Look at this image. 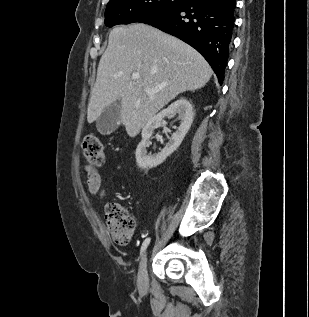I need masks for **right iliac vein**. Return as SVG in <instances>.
<instances>
[{
  "mask_svg": "<svg viewBox=\"0 0 309 317\" xmlns=\"http://www.w3.org/2000/svg\"><path fill=\"white\" fill-rule=\"evenodd\" d=\"M147 260V251H145L141 256L138 270V287L141 291H145L148 287Z\"/></svg>",
  "mask_w": 309,
  "mask_h": 317,
  "instance_id": "obj_1",
  "label": "right iliac vein"
}]
</instances>
